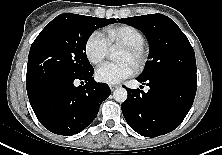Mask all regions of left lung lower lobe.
I'll return each instance as SVG.
<instances>
[{
	"instance_id": "obj_1",
	"label": "left lung lower lobe",
	"mask_w": 222,
	"mask_h": 155,
	"mask_svg": "<svg viewBox=\"0 0 222 155\" xmlns=\"http://www.w3.org/2000/svg\"><path fill=\"white\" fill-rule=\"evenodd\" d=\"M150 89H127L128 98L121 105L128 125L145 137H157L177 128L189 112L197 89L196 79L177 74L137 77Z\"/></svg>"
}]
</instances>
